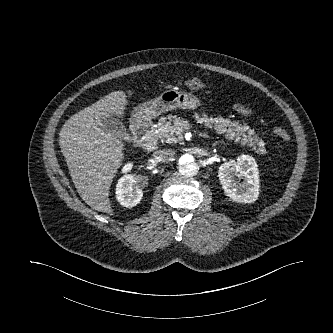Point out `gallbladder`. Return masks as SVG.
I'll return each mask as SVG.
<instances>
[{
	"label": "gallbladder",
	"mask_w": 333,
	"mask_h": 333,
	"mask_svg": "<svg viewBox=\"0 0 333 333\" xmlns=\"http://www.w3.org/2000/svg\"><path fill=\"white\" fill-rule=\"evenodd\" d=\"M97 121L101 124V128L110 132L119 139H127L129 137L124 124L113 115L100 114L97 116Z\"/></svg>",
	"instance_id": "obj_1"
}]
</instances>
